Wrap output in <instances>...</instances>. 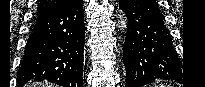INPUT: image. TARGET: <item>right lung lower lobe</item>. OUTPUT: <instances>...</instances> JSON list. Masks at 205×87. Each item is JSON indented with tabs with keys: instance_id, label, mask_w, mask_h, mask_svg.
I'll use <instances>...</instances> for the list:
<instances>
[{
	"instance_id": "obj_1",
	"label": "right lung lower lobe",
	"mask_w": 205,
	"mask_h": 87,
	"mask_svg": "<svg viewBox=\"0 0 205 87\" xmlns=\"http://www.w3.org/2000/svg\"><path fill=\"white\" fill-rule=\"evenodd\" d=\"M83 0L37 14L27 41L17 84L47 80L62 87H82L85 25Z\"/></svg>"
}]
</instances>
